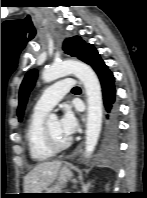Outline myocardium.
I'll list each match as a JSON object with an SVG mask.
<instances>
[{"mask_svg": "<svg viewBox=\"0 0 147 198\" xmlns=\"http://www.w3.org/2000/svg\"><path fill=\"white\" fill-rule=\"evenodd\" d=\"M43 139L46 147L48 150H50L52 153H59L65 149H67L70 146L71 141L68 140L63 145H57L51 138L50 133L48 131L47 125L43 126Z\"/></svg>", "mask_w": 147, "mask_h": 198, "instance_id": "1", "label": "myocardium"}]
</instances>
